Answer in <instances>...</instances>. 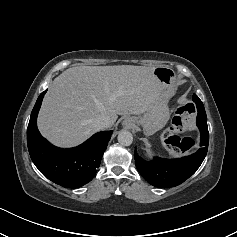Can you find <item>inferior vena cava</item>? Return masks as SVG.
I'll return each mask as SVG.
<instances>
[{"instance_id": "602c4592", "label": "inferior vena cava", "mask_w": 237, "mask_h": 237, "mask_svg": "<svg viewBox=\"0 0 237 237\" xmlns=\"http://www.w3.org/2000/svg\"><path fill=\"white\" fill-rule=\"evenodd\" d=\"M93 126L96 130H102L111 126V121L106 116H100L93 122Z\"/></svg>"}]
</instances>
